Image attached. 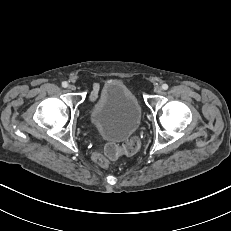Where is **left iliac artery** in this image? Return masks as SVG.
<instances>
[{
    "instance_id": "obj_1",
    "label": "left iliac artery",
    "mask_w": 231,
    "mask_h": 231,
    "mask_svg": "<svg viewBox=\"0 0 231 231\" xmlns=\"http://www.w3.org/2000/svg\"><path fill=\"white\" fill-rule=\"evenodd\" d=\"M162 89H163V90H167V89H168V85H167V84H163V85H162Z\"/></svg>"
}]
</instances>
